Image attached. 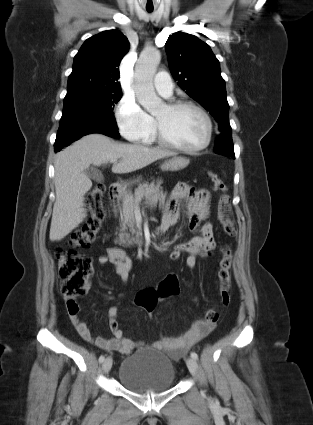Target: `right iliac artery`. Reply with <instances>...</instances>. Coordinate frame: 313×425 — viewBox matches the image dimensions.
I'll use <instances>...</instances> for the list:
<instances>
[{"mask_svg": "<svg viewBox=\"0 0 313 425\" xmlns=\"http://www.w3.org/2000/svg\"><path fill=\"white\" fill-rule=\"evenodd\" d=\"M104 360H105L104 355H101V356L99 357V362H100V363H102Z\"/></svg>", "mask_w": 313, "mask_h": 425, "instance_id": "82829eb1", "label": "right iliac artery"}]
</instances>
